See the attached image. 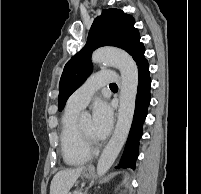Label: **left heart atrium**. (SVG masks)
<instances>
[{"label":"left heart atrium","mask_w":201,"mask_h":194,"mask_svg":"<svg viewBox=\"0 0 201 194\" xmlns=\"http://www.w3.org/2000/svg\"><path fill=\"white\" fill-rule=\"evenodd\" d=\"M113 124V113L109 105L98 101L93 107L92 136L95 139H104L110 132Z\"/></svg>","instance_id":"39dd6f15"}]
</instances>
